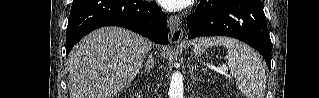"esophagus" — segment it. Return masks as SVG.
<instances>
[{
    "instance_id": "obj_1",
    "label": "esophagus",
    "mask_w": 319,
    "mask_h": 98,
    "mask_svg": "<svg viewBox=\"0 0 319 98\" xmlns=\"http://www.w3.org/2000/svg\"><path fill=\"white\" fill-rule=\"evenodd\" d=\"M181 20L177 15H171L168 18V28L170 31V42L178 44L182 42L184 31L181 28Z\"/></svg>"
}]
</instances>
